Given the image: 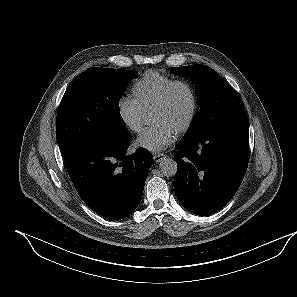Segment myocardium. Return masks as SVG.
I'll return each mask as SVG.
<instances>
[{
    "mask_svg": "<svg viewBox=\"0 0 297 297\" xmlns=\"http://www.w3.org/2000/svg\"><path fill=\"white\" fill-rule=\"evenodd\" d=\"M179 86L186 88V90L189 93L190 103H191L190 112H189L188 117L186 118L185 122L176 131V133L178 135H181V134L186 133L192 127V125L197 117V114H198V108H199L198 97H197L195 88L193 87V85L190 82H188L187 80H184V79H176L173 82H171L164 89V91L162 92V94L159 97V99L157 100V102L153 105L151 112L167 106V104L169 103V100L172 96L173 91Z\"/></svg>",
    "mask_w": 297,
    "mask_h": 297,
    "instance_id": "1",
    "label": "myocardium"
}]
</instances>
